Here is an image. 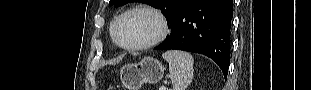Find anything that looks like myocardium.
Instances as JSON below:
<instances>
[{"mask_svg": "<svg viewBox=\"0 0 311 90\" xmlns=\"http://www.w3.org/2000/svg\"><path fill=\"white\" fill-rule=\"evenodd\" d=\"M133 13H146V14L153 16L158 23V31L150 40L146 42H143L140 44H134V45H125V44H122L120 40L118 39L117 31L122 20L128 15L133 14ZM168 32H169L168 22L165 16L159 10L152 8V7H148V6H137V7L128 9L127 11L123 12L116 19L113 25L112 38L115 44L124 50L140 51V50L151 48L159 44L162 40H164Z\"/></svg>", "mask_w": 311, "mask_h": 90, "instance_id": "myocardium-1", "label": "myocardium"}]
</instances>
